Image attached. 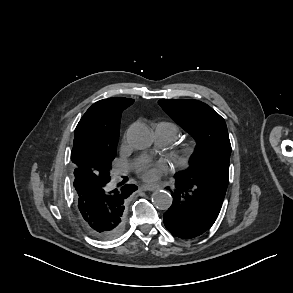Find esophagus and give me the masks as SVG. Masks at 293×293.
<instances>
[{
	"instance_id": "1",
	"label": "esophagus",
	"mask_w": 293,
	"mask_h": 293,
	"mask_svg": "<svg viewBox=\"0 0 293 293\" xmlns=\"http://www.w3.org/2000/svg\"><path fill=\"white\" fill-rule=\"evenodd\" d=\"M141 191H155L159 189L157 186L142 185L139 187Z\"/></svg>"
}]
</instances>
